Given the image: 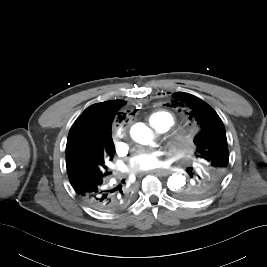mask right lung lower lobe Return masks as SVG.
Here are the masks:
<instances>
[{"instance_id":"1","label":"right lung lower lobe","mask_w":267,"mask_h":267,"mask_svg":"<svg viewBox=\"0 0 267 267\" xmlns=\"http://www.w3.org/2000/svg\"><path fill=\"white\" fill-rule=\"evenodd\" d=\"M75 192L92 208L101 212H118L126 208L133 199L132 190L113 187L109 177H84L71 183Z\"/></svg>"}]
</instances>
